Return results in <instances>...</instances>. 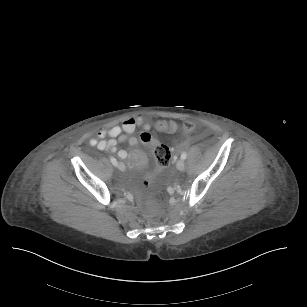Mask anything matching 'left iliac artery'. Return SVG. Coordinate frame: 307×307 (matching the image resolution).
I'll list each match as a JSON object with an SVG mask.
<instances>
[{
    "mask_svg": "<svg viewBox=\"0 0 307 307\" xmlns=\"http://www.w3.org/2000/svg\"><path fill=\"white\" fill-rule=\"evenodd\" d=\"M186 157H187V153H186V152H183V153L181 154V159L185 160Z\"/></svg>",
    "mask_w": 307,
    "mask_h": 307,
    "instance_id": "obj_1",
    "label": "left iliac artery"
}]
</instances>
